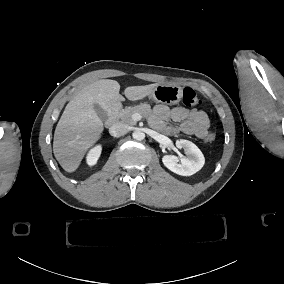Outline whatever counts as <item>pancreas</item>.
I'll use <instances>...</instances> for the list:
<instances>
[{
	"label": "pancreas",
	"mask_w": 284,
	"mask_h": 284,
	"mask_svg": "<svg viewBox=\"0 0 284 284\" xmlns=\"http://www.w3.org/2000/svg\"><path fill=\"white\" fill-rule=\"evenodd\" d=\"M139 113L144 118H149L152 115V109L149 104L143 103L139 106L132 108H126L119 113V118L129 125H135V122L131 119L132 114Z\"/></svg>",
	"instance_id": "obj_1"
}]
</instances>
